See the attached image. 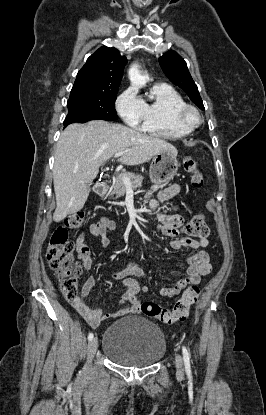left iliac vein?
<instances>
[{
    "label": "left iliac vein",
    "instance_id": "obj_1",
    "mask_svg": "<svg viewBox=\"0 0 266 415\" xmlns=\"http://www.w3.org/2000/svg\"><path fill=\"white\" fill-rule=\"evenodd\" d=\"M175 362H176L177 372L179 374H182L183 373V360L179 354L176 355Z\"/></svg>",
    "mask_w": 266,
    "mask_h": 415
}]
</instances>
